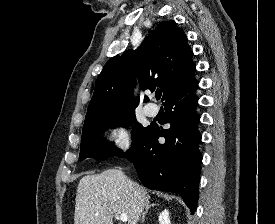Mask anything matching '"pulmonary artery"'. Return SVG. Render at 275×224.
<instances>
[{
  "label": "pulmonary artery",
  "mask_w": 275,
  "mask_h": 224,
  "mask_svg": "<svg viewBox=\"0 0 275 224\" xmlns=\"http://www.w3.org/2000/svg\"><path fill=\"white\" fill-rule=\"evenodd\" d=\"M144 111L148 116H155L158 112V109L155 104L150 103L144 107Z\"/></svg>",
  "instance_id": "pulmonary-artery-1"
}]
</instances>
